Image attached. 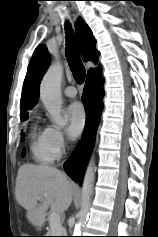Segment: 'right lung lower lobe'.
<instances>
[{"label":"right lung lower lobe","instance_id":"98d812e1","mask_svg":"<svg viewBox=\"0 0 158 237\" xmlns=\"http://www.w3.org/2000/svg\"><path fill=\"white\" fill-rule=\"evenodd\" d=\"M102 98V79L100 72L97 70L87 76L83 91L82 101L85 105L87 119L81 141L64 164L66 173L75 182L80 181V185L94 145L96 130L103 108Z\"/></svg>","mask_w":158,"mask_h":237}]
</instances>
